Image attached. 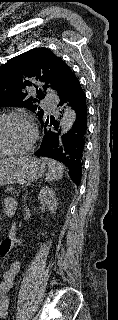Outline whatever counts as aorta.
Segmentation results:
<instances>
[{"mask_svg": "<svg viewBox=\"0 0 118 320\" xmlns=\"http://www.w3.org/2000/svg\"><path fill=\"white\" fill-rule=\"evenodd\" d=\"M76 119L75 111L70 107H67L64 111L62 121H61V128L63 133H67L71 127L73 126Z\"/></svg>", "mask_w": 118, "mask_h": 320, "instance_id": "aorta-1", "label": "aorta"}]
</instances>
